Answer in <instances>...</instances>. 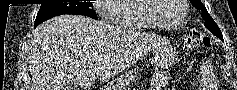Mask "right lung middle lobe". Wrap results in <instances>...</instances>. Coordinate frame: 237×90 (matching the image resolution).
Wrapping results in <instances>:
<instances>
[{
  "label": "right lung middle lobe",
  "mask_w": 237,
  "mask_h": 90,
  "mask_svg": "<svg viewBox=\"0 0 237 90\" xmlns=\"http://www.w3.org/2000/svg\"><path fill=\"white\" fill-rule=\"evenodd\" d=\"M92 7V2L41 4L34 25L38 26L52 17L63 14L84 15L97 19L96 12Z\"/></svg>",
  "instance_id": "1"
}]
</instances>
